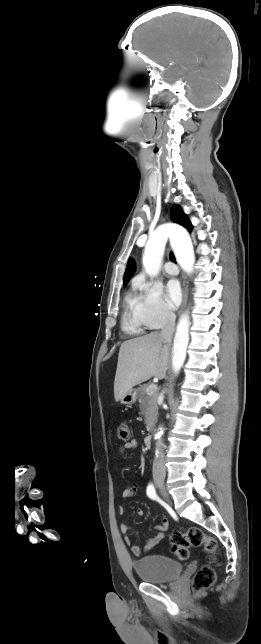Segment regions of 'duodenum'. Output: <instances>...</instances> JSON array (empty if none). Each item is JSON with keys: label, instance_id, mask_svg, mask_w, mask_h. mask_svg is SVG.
Listing matches in <instances>:
<instances>
[{"label": "duodenum", "instance_id": "obj_1", "mask_svg": "<svg viewBox=\"0 0 261 644\" xmlns=\"http://www.w3.org/2000/svg\"><path fill=\"white\" fill-rule=\"evenodd\" d=\"M152 440H153L152 435H147V436L144 438V445H145V447L149 448V447L151 446V444H152Z\"/></svg>", "mask_w": 261, "mask_h": 644}]
</instances>
